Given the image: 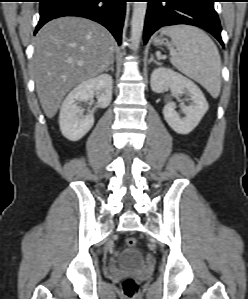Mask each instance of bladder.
Instances as JSON below:
<instances>
[{"label": "bladder", "instance_id": "1", "mask_svg": "<svg viewBox=\"0 0 248 299\" xmlns=\"http://www.w3.org/2000/svg\"><path fill=\"white\" fill-rule=\"evenodd\" d=\"M142 262V254L133 247H129L118 257L116 265L123 269H138L142 266Z\"/></svg>", "mask_w": 248, "mask_h": 299}]
</instances>
